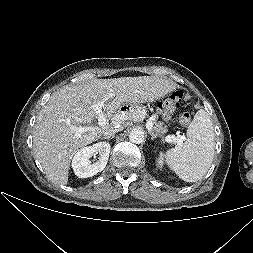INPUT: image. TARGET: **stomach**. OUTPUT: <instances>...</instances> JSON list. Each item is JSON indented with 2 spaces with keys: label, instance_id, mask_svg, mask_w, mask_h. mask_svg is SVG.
<instances>
[{
  "label": "stomach",
  "instance_id": "1",
  "mask_svg": "<svg viewBox=\"0 0 253 253\" xmlns=\"http://www.w3.org/2000/svg\"><path fill=\"white\" fill-rule=\"evenodd\" d=\"M170 102L169 96H163L161 100H157L155 102V107L157 111L160 114L165 115L167 111V104ZM144 110L146 108V103L144 101H138V100H133L131 103L130 102H124L120 105L119 107V112L121 114H126L127 112H130L132 110Z\"/></svg>",
  "mask_w": 253,
  "mask_h": 253
}]
</instances>
